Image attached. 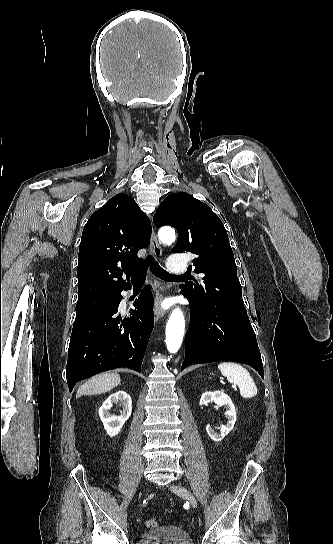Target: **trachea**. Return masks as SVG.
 Instances as JSON below:
<instances>
[{"label": "trachea", "instance_id": "trachea-1", "mask_svg": "<svg viewBox=\"0 0 333 544\" xmlns=\"http://www.w3.org/2000/svg\"><path fill=\"white\" fill-rule=\"evenodd\" d=\"M150 267V270L160 279L162 280H170L173 278H184L187 277L186 275H172L169 274L166 270H164L151 256L148 255L144 262L142 263L141 269L132 277V281L135 283L144 282L145 280V274L148 268Z\"/></svg>", "mask_w": 333, "mask_h": 544}]
</instances>
